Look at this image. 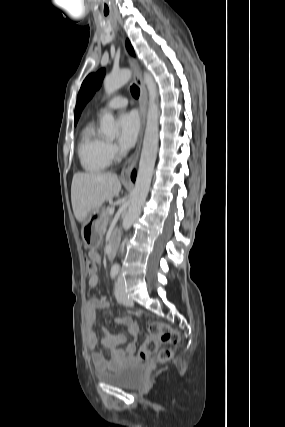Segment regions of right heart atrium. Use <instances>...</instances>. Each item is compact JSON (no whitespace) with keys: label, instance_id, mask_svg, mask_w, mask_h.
Segmentation results:
<instances>
[{"label":"right heart atrium","instance_id":"right-heart-atrium-1","mask_svg":"<svg viewBox=\"0 0 285 427\" xmlns=\"http://www.w3.org/2000/svg\"><path fill=\"white\" fill-rule=\"evenodd\" d=\"M108 152L111 159H116L119 155L118 147L112 142H108Z\"/></svg>","mask_w":285,"mask_h":427}]
</instances>
